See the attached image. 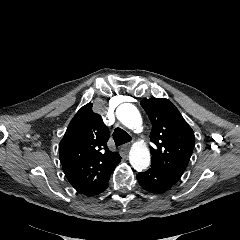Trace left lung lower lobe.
<instances>
[{
  "label": "left lung lower lobe",
  "mask_w": 240,
  "mask_h": 240,
  "mask_svg": "<svg viewBox=\"0 0 240 240\" xmlns=\"http://www.w3.org/2000/svg\"><path fill=\"white\" fill-rule=\"evenodd\" d=\"M137 179L143 189L154 194L166 192L178 182L164 170L152 165L146 172L138 173Z\"/></svg>",
  "instance_id": "1"
}]
</instances>
